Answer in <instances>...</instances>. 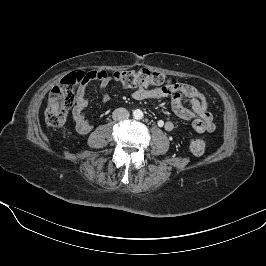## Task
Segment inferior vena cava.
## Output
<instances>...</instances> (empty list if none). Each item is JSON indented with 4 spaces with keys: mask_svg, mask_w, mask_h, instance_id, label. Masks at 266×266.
Returning a JSON list of instances; mask_svg holds the SVG:
<instances>
[{
    "mask_svg": "<svg viewBox=\"0 0 266 266\" xmlns=\"http://www.w3.org/2000/svg\"><path fill=\"white\" fill-rule=\"evenodd\" d=\"M129 112L125 108H117L112 113V118L115 121L125 120L129 118Z\"/></svg>",
    "mask_w": 266,
    "mask_h": 266,
    "instance_id": "obj_1",
    "label": "inferior vena cava"
}]
</instances>
